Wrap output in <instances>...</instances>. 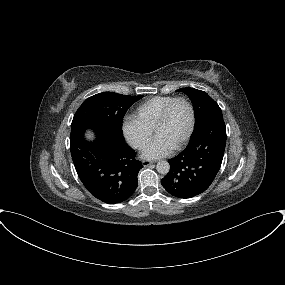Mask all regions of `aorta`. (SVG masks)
<instances>
[{"instance_id":"762f6f07","label":"aorta","mask_w":285,"mask_h":285,"mask_svg":"<svg viewBox=\"0 0 285 285\" xmlns=\"http://www.w3.org/2000/svg\"><path fill=\"white\" fill-rule=\"evenodd\" d=\"M157 172L167 174L170 170V164L167 161H159L156 165Z\"/></svg>"}]
</instances>
